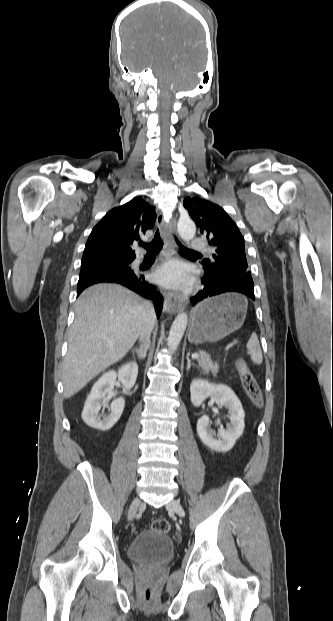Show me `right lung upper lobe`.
Returning <instances> with one entry per match:
<instances>
[{"instance_id": "cb5924a9", "label": "right lung upper lobe", "mask_w": 333, "mask_h": 621, "mask_svg": "<svg viewBox=\"0 0 333 621\" xmlns=\"http://www.w3.org/2000/svg\"><path fill=\"white\" fill-rule=\"evenodd\" d=\"M155 219L154 207L140 197L111 209L92 230L82 259H134L132 246L144 244L140 236L153 228Z\"/></svg>"}]
</instances>
